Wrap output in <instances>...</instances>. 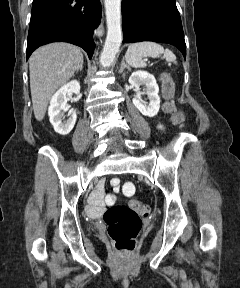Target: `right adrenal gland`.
<instances>
[{"label": "right adrenal gland", "instance_id": "obj_1", "mask_svg": "<svg viewBox=\"0 0 240 288\" xmlns=\"http://www.w3.org/2000/svg\"><path fill=\"white\" fill-rule=\"evenodd\" d=\"M82 69H83V62L81 63L80 67H79L76 71H77V72H78V71H82Z\"/></svg>", "mask_w": 240, "mask_h": 288}]
</instances>
